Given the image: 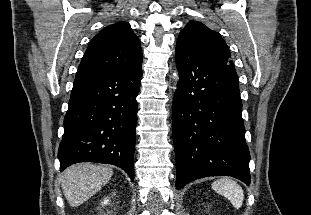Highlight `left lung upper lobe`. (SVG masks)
Returning <instances> with one entry per match:
<instances>
[{"mask_svg": "<svg viewBox=\"0 0 311 215\" xmlns=\"http://www.w3.org/2000/svg\"><path fill=\"white\" fill-rule=\"evenodd\" d=\"M178 38L226 62L236 71L234 63L231 60L229 48L221 35L209 29L203 23L191 20L185 28L181 30Z\"/></svg>", "mask_w": 311, "mask_h": 215, "instance_id": "5c2ea615", "label": "left lung upper lobe"}]
</instances>
